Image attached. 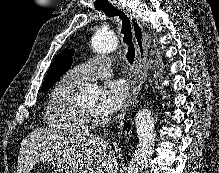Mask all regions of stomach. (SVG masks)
I'll list each match as a JSON object with an SVG mask.
<instances>
[{
	"label": "stomach",
	"mask_w": 219,
	"mask_h": 173,
	"mask_svg": "<svg viewBox=\"0 0 219 173\" xmlns=\"http://www.w3.org/2000/svg\"><path fill=\"white\" fill-rule=\"evenodd\" d=\"M51 173H65V171L61 168H54L51 170Z\"/></svg>",
	"instance_id": "1"
}]
</instances>
